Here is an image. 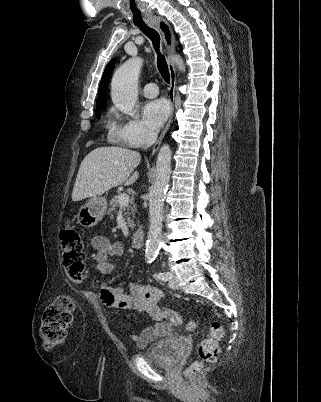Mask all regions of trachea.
I'll return each instance as SVG.
<instances>
[{
  "mask_svg": "<svg viewBox=\"0 0 321 402\" xmlns=\"http://www.w3.org/2000/svg\"><path fill=\"white\" fill-rule=\"evenodd\" d=\"M136 26L152 41L153 47L157 52V67L166 83H170V74L168 71L165 57L160 52V36L158 32L144 24H136Z\"/></svg>",
  "mask_w": 321,
  "mask_h": 402,
  "instance_id": "3493384b",
  "label": "trachea"
}]
</instances>
